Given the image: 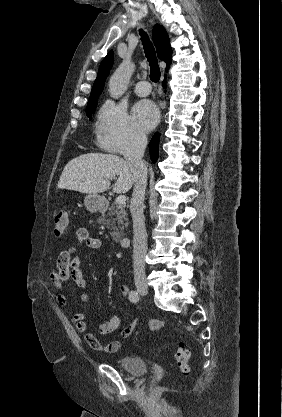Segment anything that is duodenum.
Instances as JSON below:
<instances>
[{
  "label": "duodenum",
  "mask_w": 282,
  "mask_h": 417,
  "mask_svg": "<svg viewBox=\"0 0 282 417\" xmlns=\"http://www.w3.org/2000/svg\"><path fill=\"white\" fill-rule=\"evenodd\" d=\"M130 237L128 235H125L120 238V245L122 248L126 249L129 245Z\"/></svg>",
  "instance_id": "obj_1"
}]
</instances>
